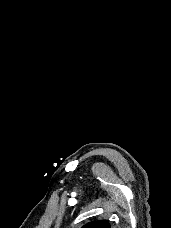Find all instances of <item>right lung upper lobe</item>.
Masks as SVG:
<instances>
[{"label":"right lung upper lobe","instance_id":"right-lung-upper-lobe-1","mask_svg":"<svg viewBox=\"0 0 171 228\" xmlns=\"http://www.w3.org/2000/svg\"><path fill=\"white\" fill-rule=\"evenodd\" d=\"M82 228H111L108 221L98 220L84 225Z\"/></svg>","mask_w":171,"mask_h":228}]
</instances>
